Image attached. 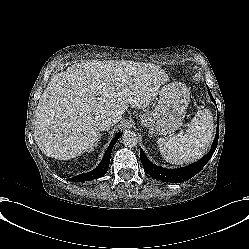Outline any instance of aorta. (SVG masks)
Here are the masks:
<instances>
[{"mask_svg":"<svg viewBox=\"0 0 249 249\" xmlns=\"http://www.w3.org/2000/svg\"><path fill=\"white\" fill-rule=\"evenodd\" d=\"M122 142L126 147H134L138 143V136L135 132L126 130L122 135Z\"/></svg>","mask_w":249,"mask_h":249,"instance_id":"1","label":"aorta"}]
</instances>
